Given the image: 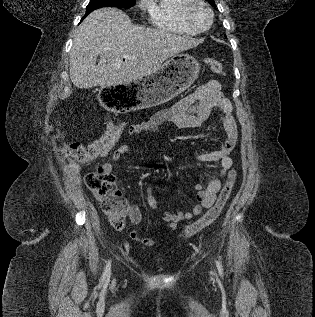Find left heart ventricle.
I'll return each mask as SVG.
<instances>
[{
	"mask_svg": "<svg viewBox=\"0 0 315 317\" xmlns=\"http://www.w3.org/2000/svg\"><path fill=\"white\" fill-rule=\"evenodd\" d=\"M193 19L198 27H206L209 22V15L202 6H197L193 11Z\"/></svg>",
	"mask_w": 315,
	"mask_h": 317,
	"instance_id": "1",
	"label": "left heart ventricle"
}]
</instances>
